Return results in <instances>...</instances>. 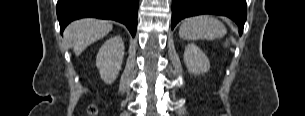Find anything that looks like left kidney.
<instances>
[{"label": "left kidney", "mask_w": 305, "mask_h": 116, "mask_svg": "<svg viewBox=\"0 0 305 116\" xmlns=\"http://www.w3.org/2000/svg\"><path fill=\"white\" fill-rule=\"evenodd\" d=\"M184 63L188 71L195 75L206 73L210 69V62L207 56L194 43H190L186 46L184 51Z\"/></svg>", "instance_id": "obj_1"}]
</instances>
